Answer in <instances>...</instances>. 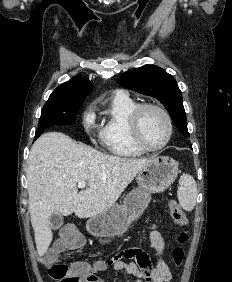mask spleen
<instances>
[{
	"label": "spleen",
	"mask_w": 232,
	"mask_h": 282,
	"mask_svg": "<svg viewBox=\"0 0 232 282\" xmlns=\"http://www.w3.org/2000/svg\"><path fill=\"white\" fill-rule=\"evenodd\" d=\"M177 197L181 207L186 211H192L196 204L197 184L194 178L189 174H183L179 180Z\"/></svg>",
	"instance_id": "1"
}]
</instances>
